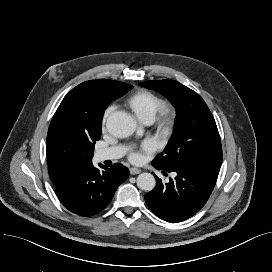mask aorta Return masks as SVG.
<instances>
[{"mask_svg":"<svg viewBox=\"0 0 272 272\" xmlns=\"http://www.w3.org/2000/svg\"><path fill=\"white\" fill-rule=\"evenodd\" d=\"M136 121L126 112L116 111L111 113L106 120L108 132L117 138H126L136 130ZM156 185L154 176L150 173H141L137 177V186L144 191H151Z\"/></svg>","mask_w":272,"mask_h":272,"instance_id":"1","label":"aorta"}]
</instances>
